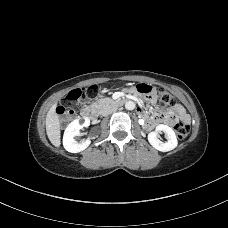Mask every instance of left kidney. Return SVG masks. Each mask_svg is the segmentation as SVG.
<instances>
[{"label": "left kidney", "instance_id": "1", "mask_svg": "<svg viewBox=\"0 0 228 228\" xmlns=\"http://www.w3.org/2000/svg\"><path fill=\"white\" fill-rule=\"evenodd\" d=\"M163 131L166 134L167 142H162L158 139V133ZM149 143L157 150L167 152L177 147L178 141L175 132L167 125L159 124L155 131L148 134Z\"/></svg>", "mask_w": 228, "mask_h": 228}]
</instances>
